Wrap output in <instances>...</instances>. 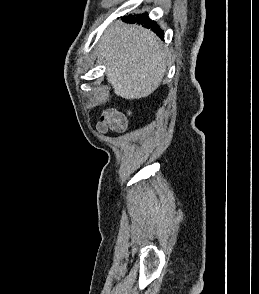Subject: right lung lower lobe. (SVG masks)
Returning <instances> with one entry per match:
<instances>
[{
    "mask_svg": "<svg viewBox=\"0 0 259 294\" xmlns=\"http://www.w3.org/2000/svg\"><path fill=\"white\" fill-rule=\"evenodd\" d=\"M123 19L131 23L136 22L138 24H142L144 27L147 26L148 28H151L153 31H155L161 38L164 37V33L162 32V30L159 28L156 22L148 18L147 13H143L136 16H129V17L125 16L123 17Z\"/></svg>",
    "mask_w": 259,
    "mask_h": 294,
    "instance_id": "right-lung-lower-lobe-1",
    "label": "right lung lower lobe"
}]
</instances>
